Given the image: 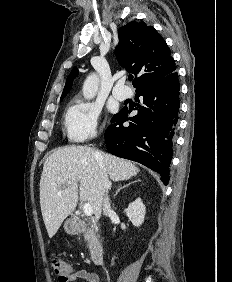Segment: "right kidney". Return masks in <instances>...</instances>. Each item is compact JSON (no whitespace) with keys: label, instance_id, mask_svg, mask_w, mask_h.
Segmentation results:
<instances>
[{"label":"right kidney","instance_id":"obj_1","mask_svg":"<svg viewBox=\"0 0 232 282\" xmlns=\"http://www.w3.org/2000/svg\"><path fill=\"white\" fill-rule=\"evenodd\" d=\"M125 212L134 226L139 227L144 222L145 206L140 198L130 203Z\"/></svg>","mask_w":232,"mask_h":282}]
</instances>
